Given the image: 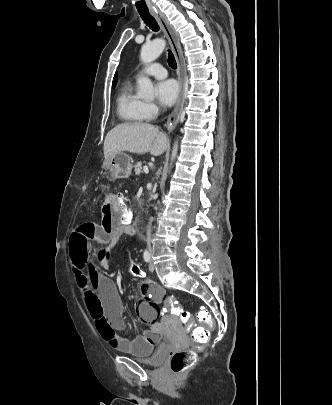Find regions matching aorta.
<instances>
[{
    "label": "aorta",
    "instance_id": "aorta-1",
    "mask_svg": "<svg viewBox=\"0 0 332 405\" xmlns=\"http://www.w3.org/2000/svg\"><path fill=\"white\" fill-rule=\"evenodd\" d=\"M166 42L161 38H156L153 41L146 43L141 48L140 58L144 64H148L156 60L165 48ZM139 95L143 98H149L153 95V84L147 77H142L138 80ZM178 153V141L175 142L171 152V164L174 162Z\"/></svg>",
    "mask_w": 332,
    "mask_h": 405
}]
</instances>
